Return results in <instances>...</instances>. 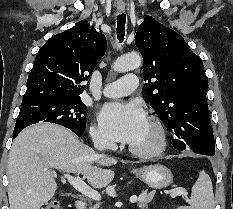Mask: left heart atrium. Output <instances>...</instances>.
<instances>
[{
	"label": "left heart atrium",
	"mask_w": 233,
	"mask_h": 209,
	"mask_svg": "<svg viewBox=\"0 0 233 209\" xmlns=\"http://www.w3.org/2000/svg\"><path fill=\"white\" fill-rule=\"evenodd\" d=\"M99 123L109 137L132 143L143 131L147 118L136 102H112L101 109Z\"/></svg>",
	"instance_id": "39dd6f15"
}]
</instances>
